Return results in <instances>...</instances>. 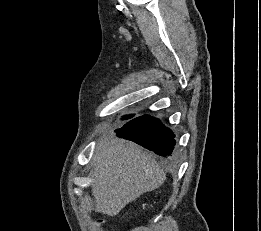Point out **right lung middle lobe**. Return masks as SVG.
Instances as JSON below:
<instances>
[{
	"instance_id": "1",
	"label": "right lung middle lobe",
	"mask_w": 261,
	"mask_h": 231,
	"mask_svg": "<svg viewBox=\"0 0 261 231\" xmlns=\"http://www.w3.org/2000/svg\"><path fill=\"white\" fill-rule=\"evenodd\" d=\"M133 117V115H129V116H126V117H124L123 119L125 120V119H130V118H132Z\"/></svg>"
}]
</instances>
